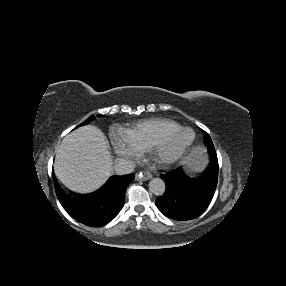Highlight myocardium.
I'll return each mask as SVG.
<instances>
[{"label":"myocardium","mask_w":286,"mask_h":286,"mask_svg":"<svg viewBox=\"0 0 286 286\" xmlns=\"http://www.w3.org/2000/svg\"><path fill=\"white\" fill-rule=\"evenodd\" d=\"M185 133L191 134V140L185 144H178L179 138ZM196 142V132L190 127H183L167 138L154 143L149 150L158 163L171 166L183 160L195 147Z\"/></svg>","instance_id":"obj_1"}]
</instances>
